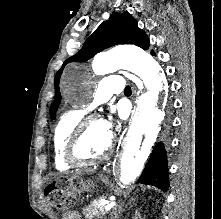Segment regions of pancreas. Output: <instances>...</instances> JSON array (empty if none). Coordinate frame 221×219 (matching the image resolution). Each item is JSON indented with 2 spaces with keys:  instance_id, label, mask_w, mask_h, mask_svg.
Wrapping results in <instances>:
<instances>
[{
  "instance_id": "cf45deb5",
  "label": "pancreas",
  "mask_w": 221,
  "mask_h": 219,
  "mask_svg": "<svg viewBox=\"0 0 221 219\" xmlns=\"http://www.w3.org/2000/svg\"><path fill=\"white\" fill-rule=\"evenodd\" d=\"M102 200H104V198L99 197L83 209V214L86 219H93L95 217H100L106 214L104 205L101 204Z\"/></svg>"
}]
</instances>
